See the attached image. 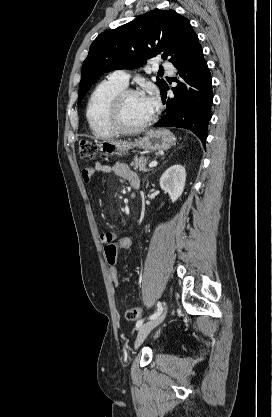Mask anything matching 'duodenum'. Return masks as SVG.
I'll list each match as a JSON object with an SVG mask.
<instances>
[{"mask_svg": "<svg viewBox=\"0 0 272 417\" xmlns=\"http://www.w3.org/2000/svg\"><path fill=\"white\" fill-rule=\"evenodd\" d=\"M131 186H132L134 189H137V188L139 187V183H138V182H133V183L131 184Z\"/></svg>", "mask_w": 272, "mask_h": 417, "instance_id": "410a0bca", "label": "duodenum"}]
</instances>
